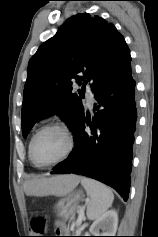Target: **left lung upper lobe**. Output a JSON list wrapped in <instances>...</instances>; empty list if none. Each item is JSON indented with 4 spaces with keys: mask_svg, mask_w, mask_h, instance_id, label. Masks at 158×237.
Returning a JSON list of instances; mask_svg holds the SVG:
<instances>
[{
    "mask_svg": "<svg viewBox=\"0 0 158 237\" xmlns=\"http://www.w3.org/2000/svg\"><path fill=\"white\" fill-rule=\"evenodd\" d=\"M130 61L129 48L113 24L88 13L69 18L29 61L23 136L38 119L54 113L75 132L84 115L81 95L72 92L75 80L82 82V89L90 83L95 92Z\"/></svg>",
    "mask_w": 158,
    "mask_h": 237,
    "instance_id": "1",
    "label": "left lung upper lobe"
}]
</instances>
